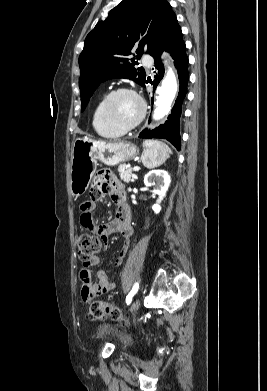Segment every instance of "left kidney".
<instances>
[{
	"label": "left kidney",
	"instance_id": "left-kidney-1",
	"mask_svg": "<svg viewBox=\"0 0 267 391\" xmlns=\"http://www.w3.org/2000/svg\"><path fill=\"white\" fill-rule=\"evenodd\" d=\"M171 183V178L165 170H152L144 177V184L147 187H154L153 192L158 195L157 202L152 206L154 213L161 211L160 203L166 196Z\"/></svg>",
	"mask_w": 267,
	"mask_h": 391
}]
</instances>
